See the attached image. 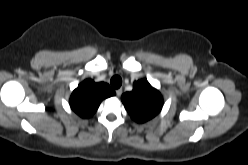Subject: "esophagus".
<instances>
[{"instance_id":"34e87169","label":"esophagus","mask_w":248,"mask_h":165,"mask_svg":"<svg viewBox=\"0 0 248 165\" xmlns=\"http://www.w3.org/2000/svg\"><path fill=\"white\" fill-rule=\"evenodd\" d=\"M122 92H123L122 88L117 89L116 90L117 97H120L122 95Z\"/></svg>"}]
</instances>
